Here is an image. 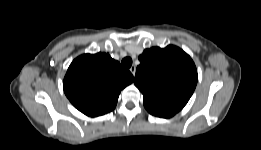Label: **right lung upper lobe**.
<instances>
[{
	"label": "right lung upper lobe",
	"mask_w": 261,
	"mask_h": 150,
	"mask_svg": "<svg viewBox=\"0 0 261 150\" xmlns=\"http://www.w3.org/2000/svg\"><path fill=\"white\" fill-rule=\"evenodd\" d=\"M133 75L109 54H84L69 66L63 88L70 102L83 114L96 117L112 111L122 89Z\"/></svg>",
	"instance_id": "cb5924a9"
}]
</instances>
